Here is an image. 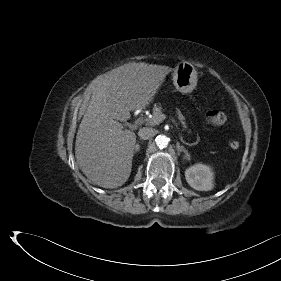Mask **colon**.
<instances>
[{
  "mask_svg": "<svg viewBox=\"0 0 281 281\" xmlns=\"http://www.w3.org/2000/svg\"><path fill=\"white\" fill-rule=\"evenodd\" d=\"M207 121L213 125H222L225 123L227 116L222 110H211L207 113ZM232 149H237L240 143L237 139H230L228 142Z\"/></svg>",
  "mask_w": 281,
  "mask_h": 281,
  "instance_id": "5ec220e1",
  "label": "colon"
}]
</instances>
